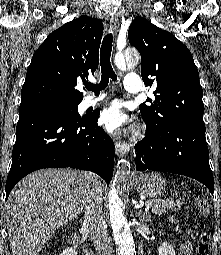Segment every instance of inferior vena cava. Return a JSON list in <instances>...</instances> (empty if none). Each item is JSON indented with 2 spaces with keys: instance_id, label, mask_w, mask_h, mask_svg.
<instances>
[{
  "instance_id": "obj_1",
  "label": "inferior vena cava",
  "mask_w": 221,
  "mask_h": 255,
  "mask_svg": "<svg viewBox=\"0 0 221 255\" xmlns=\"http://www.w3.org/2000/svg\"><path fill=\"white\" fill-rule=\"evenodd\" d=\"M98 179V176L94 174ZM103 191L99 183L90 187L85 200L84 225L90 229L97 255H112L110 236L103 224Z\"/></svg>"
}]
</instances>
